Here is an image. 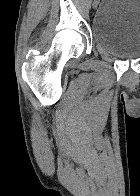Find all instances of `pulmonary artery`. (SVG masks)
<instances>
[{
    "label": "pulmonary artery",
    "mask_w": 140,
    "mask_h": 196,
    "mask_svg": "<svg viewBox=\"0 0 140 196\" xmlns=\"http://www.w3.org/2000/svg\"><path fill=\"white\" fill-rule=\"evenodd\" d=\"M74 192H85V191H74Z\"/></svg>",
    "instance_id": "e3ab8cb5"
}]
</instances>
